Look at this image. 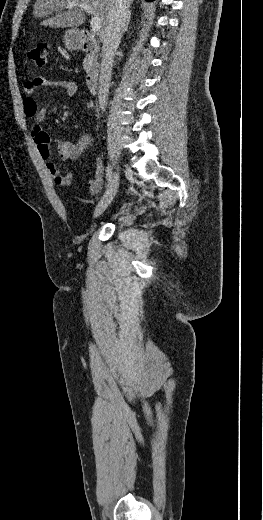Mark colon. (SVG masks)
I'll return each mask as SVG.
<instances>
[{"label": "colon", "mask_w": 263, "mask_h": 520, "mask_svg": "<svg viewBox=\"0 0 263 520\" xmlns=\"http://www.w3.org/2000/svg\"><path fill=\"white\" fill-rule=\"evenodd\" d=\"M49 47L46 43H39L27 52L28 58L37 66H45L47 63Z\"/></svg>", "instance_id": "5ec220e1"}]
</instances>
